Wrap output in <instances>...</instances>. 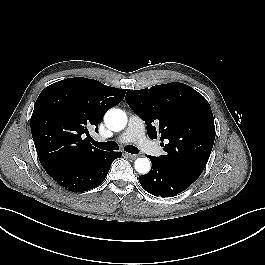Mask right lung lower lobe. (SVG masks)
Returning a JSON list of instances; mask_svg holds the SVG:
<instances>
[{
	"instance_id": "right-lung-lower-lobe-1",
	"label": "right lung lower lobe",
	"mask_w": 265,
	"mask_h": 265,
	"mask_svg": "<svg viewBox=\"0 0 265 265\" xmlns=\"http://www.w3.org/2000/svg\"><path fill=\"white\" fill-rule=\"evenodd\" d=\"M121 152H105L96 158L56 168L48 173L61 186L82 192L99 186Z\"/></svg>"
}]
</instances>
